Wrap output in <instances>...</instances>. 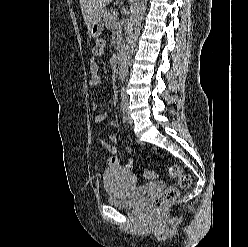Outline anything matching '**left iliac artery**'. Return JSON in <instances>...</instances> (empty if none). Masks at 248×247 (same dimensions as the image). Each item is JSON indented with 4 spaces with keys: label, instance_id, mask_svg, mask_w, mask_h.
Instances as JSON below:
<instances>
[{
    "label": "left iliac artery",
    "instance_id": "44dca946",
    "mask_svg": "<svg viewBox=\"0 0 248 247\" xmlns=\"http://www.w3.org/2000/svg\"><path fill=\"white\" fill-rule=\"evenodd\" d=\"M121 106L124 111L127 110V100H126V95L124 89L121 92Z\"/></svg>",
    "mask_w": 248,
    "mask_h": 247
}]
</instances>
